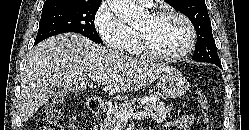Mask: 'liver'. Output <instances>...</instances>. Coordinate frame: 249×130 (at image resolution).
Masks as SVG:
<instances>
[{
  "instance_id": "liver-1",
  "label": "liver",
  "mask_w": 249,
  "mask_h": 130,
  "mask_svg": "<svg viewBox=\"0 0 249 130\" xmlns=\"http://www.w3.org/2000/svg\"><path fill=\"white\" fill-rule=\"evenodd\" d=\"M172 70L148 60L125 56L80 34H60L36 45L27 58L21 80V118L27 121L48 102L50 87L59 85L79 92L86 88L89 80L99 79L105 92H132Z\"/></svg>"
}]
</instances>
